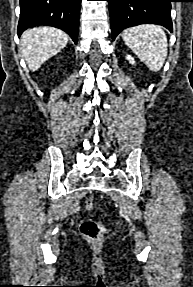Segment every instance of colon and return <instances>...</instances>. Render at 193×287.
Masks as SVG:
<instances>
[{"label": "colon", "mask_w": 193, "mask_h": 287, "mask_svg": "<svg viewBox=\"0 0 193 287\" xmlns=\"http://www.w3.org/2000/svg\"><path fill=\"white\" fill-rule=\"evenodd\" d=\"M85 206L88 210H91L93 208V201L87 199L85 201ZM80 231L85 238L91 241H99L105 233V226L100 221L87 220L81 224Z\"/></svg>", "instance_id": "5ec220e1"}]
</instances>
